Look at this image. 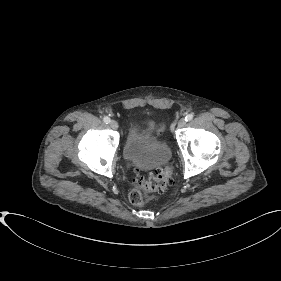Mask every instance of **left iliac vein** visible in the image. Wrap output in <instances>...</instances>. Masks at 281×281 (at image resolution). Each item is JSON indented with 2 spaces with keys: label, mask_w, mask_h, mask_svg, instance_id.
Segmentation results:
<instances>
[{
  "label": "left iliac vein",
  "mask_w": 281,
  "mask_h": 281,
  "mask_svg": "<svg viewBox=\"0 0 281 281\" xmlns=\"http://www.w3.org/2000/svg\"><path fill=\"white\" fill-rule=\"evenodd\" d=\"M186 125V120L185 119H181L178 122V128H183Z\"/></svg>",
  "instance_id": "4c4485c4"
}]
</instances>
